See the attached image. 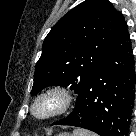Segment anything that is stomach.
Wrapping results in <instances>:
<instances>
[{
	"mask_svg": "<svg viewBox=\"0 0 136 136\" xmlns=\"http://www.w3.org/2000/svg\"><path fill=\"white\" fill-rule=\"evenodd\" d=\"M59 136H69V135H66V134H62V135H59Z\"/></svg>",
	"mask_w": 136,
	"mask_h": 136,
	"instance_id": "0dacf381",
	"label": "stomach"
}]
</instances>
